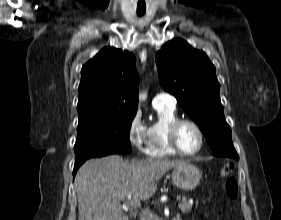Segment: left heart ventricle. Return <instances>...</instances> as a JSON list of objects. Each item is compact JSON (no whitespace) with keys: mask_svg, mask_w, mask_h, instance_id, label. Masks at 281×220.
<instances>
[{"mask_svg":"<svg viewBox=\"0 0 281 220\" xmlns=\"http://www.w3.org/2000/svg\"><path fill=\"white\" fill-rule=\"evenodd\" d=\"M199 135L196 129L189 125L183 124L178 130V142L182 150L193 152L199 146Z\"/></svg>","mask_w":281,"mask_h":220,"instance_id":"1","label":"left heart ventricle"}]
</instances>
